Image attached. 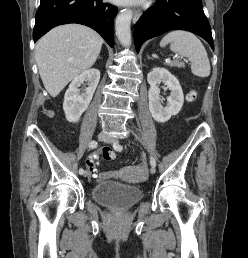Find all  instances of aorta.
<instances>
[{"mask_svg":"<svg viewBox=\"0 0 248 258\" xmlns=\"http://www.w3.org/2000/svg\"><path fill=\"white\" fill-rule=\"evenodd\" d=\"M132 10L124 9L116 18L115 30L118 40L123 46L131 45V20H132Z\"/></svg>","mask_w":248,"mask_h":258,"instance_id":"762f6f07","label":"aorta"}]
</instances>
